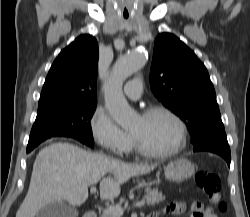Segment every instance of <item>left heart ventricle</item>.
<instances>
[{
    "label": "left heart ventricle",
    "instance_id": "obj_1",
    "mask_svg": "<svg viewBox=\"0 0 250 217\" xmlns=\"http://www.w3.org/2000/svg\"><path fill=\"white\" fill-rule=\"evenodd\" d=\"M130 132L149 149L157 152L171 150L179 139L176 123L166 114L155 113L148 117L139 116Z\"/></svg>",
    "mask_w": 250,
    "mask_h": 217
}]
</instances>
